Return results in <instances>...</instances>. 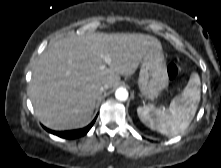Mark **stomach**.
I'll return each mask as SVG.
<instances>
[{"mask_svg": "<svg viewBox=\"0 0 221 168\" xmlns=\"http://www.w3.org/2000/svg\"><path fill=\"white\" fill-rule=\"evenodd\" d=\"M166 62L162 51L148 52L141 61L138 88L142 96L156 98L168 85Z\"/></svg>", "mask_w": 221, "mask_h": 168, "instance_id": "1", "label": "stomach"}]
</instances>
